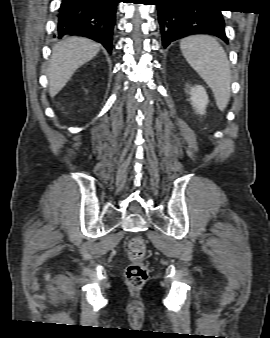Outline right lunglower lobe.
<instances>
[{
	"mask_svg": "<svg viewBox=\"0 0 270 338\" xmlns=\"http://www.w3.org/2000/svg\"><path fill=\"white\" fill-rule=\"evenodd\" d=\"M119 0H62L54 37L83 36L101 43L109 53Z\"/></svg>",
	"mask_w": 270,
	"mask_h": 338,
	"instance_id": "1",
	"label": "right lung lower lobe"
}]
</instances>
